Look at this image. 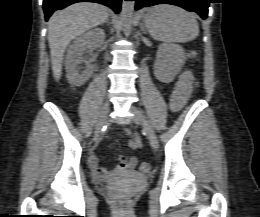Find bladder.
<instances>
[{
  "label": "bladder",
  "instance_id": "obj_1",
  "mask_svg": "<svg viewBox=\"0 0 260 217\" xmlns=\"http://www.w3.org/2000/svg\"><path fill=\"white\" fill-rule=\"evenodd\" d=\"M128 176L131 178H143V176L138 174L137 172H131Z\"/></svg>",
  "mask_w": 260,
  "mask_h": 217
}]
</instances>
